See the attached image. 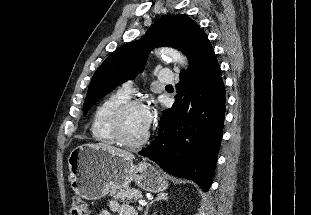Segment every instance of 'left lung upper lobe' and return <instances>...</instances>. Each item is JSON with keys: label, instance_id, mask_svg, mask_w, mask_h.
Listing matches in <instances>:
<instances>
[{"label": "left lung upper lobe", "instance_id": "5c2ea615", "mask_svg": "<svg viewBox=\"0 0 311 215\" xmlns=\"http://www.w3.org/2000/svg\"><path fill=\"white\" fill-rule=\"evenodd\" d=\"M203 36H206L203 29L187 15H166L159 19L141 39L116 49L96 70L87 92L83 113L86 114L99 99L142 71L151 49L170 46L187 56Z\"/></svg>", "mask_w": 311, "mask_h": 215}]
</instances>
